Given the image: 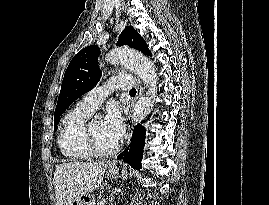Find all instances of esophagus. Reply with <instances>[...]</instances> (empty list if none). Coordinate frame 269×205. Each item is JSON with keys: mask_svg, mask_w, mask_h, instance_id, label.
Wrapping results in <instances>:
<instances>
[{"mask_svg": "<svg viewBox=\"0 0 269 205\" xmlns=\"http://www.w3.org/2000/svg\"><path fill=\"white\" fill-rule=\"evenodd\" d=\"M136 89H137V94H136V97H135V101L138 98H140V96L143 93L142 83H141V81L139 79H137V88ZM133 128H134V122H133L132 116L130 114L128 116V119H127V135H128L127 144L130 143V138H131V134H132Z\"/></svg>", "mask_w": 269, "mask_h": 205, "instance_id": "34e87169", "label": "esophagus"}]
</instances>
